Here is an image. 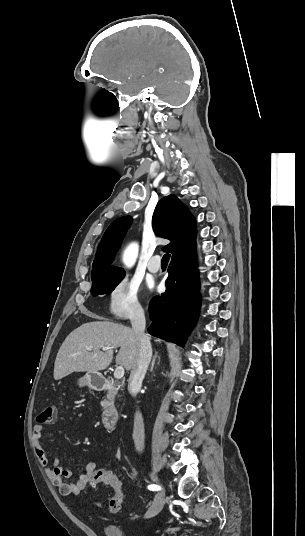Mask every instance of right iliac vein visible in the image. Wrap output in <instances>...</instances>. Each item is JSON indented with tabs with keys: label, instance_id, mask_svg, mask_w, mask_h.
<instances>
[{
	"label": "right iliac vein",
	"instance_id": "right-iliac-vein-1",
	"mask_svg": "<svg viewBox=\"0 0 305 536\" xmlns=\"http://www.w3.org/2000/svg\"><path fill=\"white\" fill-rule=\"evenodd\" d=\"M151 477L153 480H157V477L154 474H151ZM165 504V495L164 491H160L157 493L154 503L149 509V511L146 513L145 518H152L155 517L157 514L160 513L163 506Z\"/></svg>",
	"mask_w": 305,
	"mask_h": 536
}]
</instances>
